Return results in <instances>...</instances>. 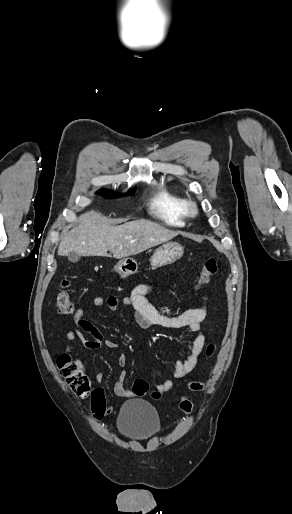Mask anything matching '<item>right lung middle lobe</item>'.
Returning <instances> with one entry per match:
<instances>
[{"instance_id": "dd1d6c3e", "label": "right lung middle lobe", "mask_w": 292, "mask_h": 514, "mask_svg": "<svg viewBox=\"0 0 292 514\" xmlns=\"http://www.w3.org/2000/svg\"><path fill=\"white\" fill-rule=\"evenodd\" d=\"M135 192V189L131 190L130 192H128L126 195H132L133 193ZM98 195L106 198V199H113V198H118V197H121L122 195L120 194H115L111 191H107V190H101V191H98L96 192Z\"/></svg>"}]
</instances>
